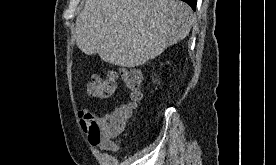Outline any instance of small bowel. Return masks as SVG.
I'll use <instances>...</instances> for the list:
<instances>
[{
    "label": "small bowel",
    "instance_id": "c3829d8e",
    "mask_svg": "<svg viewBox=\"0 0 276 165\" xmlns=\"http://www.w3.org/2000/svg\"><path fill=\"white\" fill-rule=\"evenodd\" d=\"M87 113H91L89 109H83L79 112V115L82 119V117L87 114ZM99 146L103 149H110L112 147V143H102V144H99Z\"/></svg>",
    "mask_w": 276,
    "mask_h": 165
}]
</instances>
